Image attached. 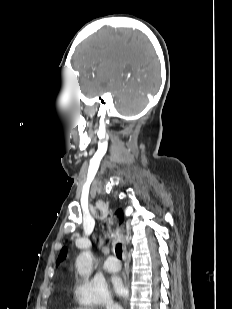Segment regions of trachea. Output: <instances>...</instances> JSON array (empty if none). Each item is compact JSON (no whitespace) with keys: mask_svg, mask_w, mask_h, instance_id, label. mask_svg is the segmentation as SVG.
<instances>
[{"mask_svg":"<svg viewBox=\"0 0 232 309\" xmlns=\"http://www.w3.org/2000/svg\"><path fill=\"white\" fill-rule=\"evenodd\" d=\"M115 252H116L118 259H121L122 258V245L120 243L116 245Z\"/></svg>","mask_w":232,"mask_h":309,"instance_id":"trachea-1","label":"trachea"}]
</instances>
